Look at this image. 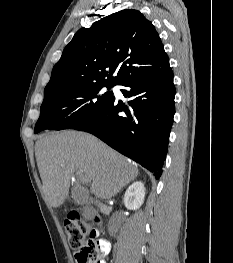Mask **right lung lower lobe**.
<instances>
[{"label":"right lung lower lobe","instance_id":"obj_1","mask_svg":"<svg viewBox=\"0 0 233 263\" xmlns=\"http://www.w3.org/2000/svg\"><path fill=\"white\" fill-rule=\"evenodd\" d=\"M120 85L130 88L121 90L125 97L132 98L128 107L113 98L73 128L94 134L158 178L175 113L173 72L169 66L159 74L129 79Z\"/></svg>","mask_w":233,"mask_h":263}]
</instances>
